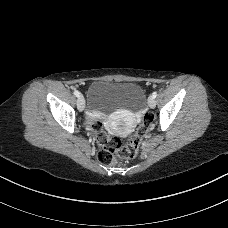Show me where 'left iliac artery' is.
I'll return each instance as SVG.
<instances>
[{
  "label": "left iliac artery",
  "instance_id": "44dca946",
  "mask_svg": "<svg viewBox=\"0 0 228 228\" xmlns=\"http://www.w3.org/2000/svg\"><path fill=\"white\" fill-rule=\"evenodd\" d=\"M152 96H153L154 98H156V96H157V92H156V91H154V92L152 93Z\"/></svg>",
  "mask_w": 228,
  "mask_h": 228
}]
</instances>
